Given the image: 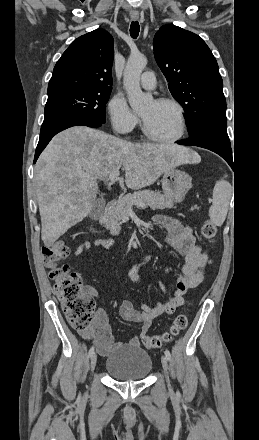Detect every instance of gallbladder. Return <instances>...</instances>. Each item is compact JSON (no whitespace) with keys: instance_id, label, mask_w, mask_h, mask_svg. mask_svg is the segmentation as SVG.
<instances>
[{"instance_id":"1","label":"gallbladder","mask_w":259,"mask_h":440,"mask_svg":"<svg viewBox=\"0 0 259 440\" xmlns=\"http://www.w3.org/2000/svg\"><path fill=\"white\" fill-rule=\"evenodd\" d=\"M103 210H104V202L101 199H98L94 203V206H93L91 212L89 213V217L91 219L97 220L102 215Z\"/></svg>"}]
</instances>
